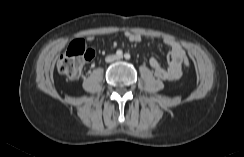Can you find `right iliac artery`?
<instances>
[{"instance_id": "1", "label": "right iliac artery", "mask_w": 244, "mask_h": 157, "mask_svg": "<svg viewBox=\"0 0 244 157\" xmlns=\"http://www.w3.org/2000/svg\"><path fill=\"white\" fill-rule=\"evenodd\" d=\"M116 55H117L118 57H121V56L123 55L122 50H117V51H116Z\"/></svg>"}]
</instances>
